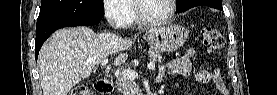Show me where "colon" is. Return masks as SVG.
<instances>
[{"label":"colon","mask_w":277,"mask_h":95,"mask_svg":"<svg viewBox=\"0 0 277 95\" xmlns=\"http://www.w3.org/2000/svg\"><path fill=\"white\" fill-rule=\"evenodd\" d=\"M203 46L209 52L219 51L225 44L222 34L214 28L204 27L201 29ZM72 95H89V90L85 86H76L71 91Z\"/></svg>","instance_id":"obj_1"}]
</instances>
